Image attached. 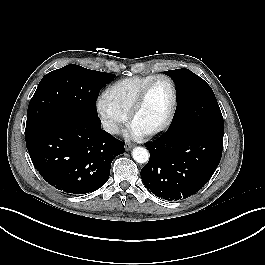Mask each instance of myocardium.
<instances>
[{
    "label": "myocardium",
    "mask_w": 265,
    "mask_h": 265,
    "mask_svg": "<svg viewBox=\"0 0 265 265\" xmlns=\"http://www.w3.org/2000/svg\"><path fill=\"white\" fill-rule=\"evenodd\" d=\"M160 79H164L167 80L171 86L172 89V103L169 109V112L166 116V118L164 119V121L157 126L156 128L147 131L145 133H142V135L146 138H153L156 137L160 134H162L163 132H165L168 127L170 126V124L173 121V118L175 116V112L177 109V104H178V91H177V87L176 84L174 82V80L165 74H159V75H155L140 91V93L138 94L135 102L133 103L130 112L128 114V121L129 124L132 126L133 121L136 117V115L139 113V111L141 110V108L143 107L146 97L148 95V92L150 90V88L152 87V85Z\"/></svg>",
    "instance_id": "obj_1"
}]
</instances>
